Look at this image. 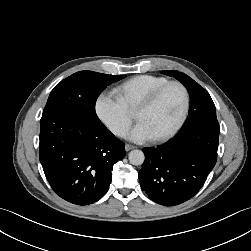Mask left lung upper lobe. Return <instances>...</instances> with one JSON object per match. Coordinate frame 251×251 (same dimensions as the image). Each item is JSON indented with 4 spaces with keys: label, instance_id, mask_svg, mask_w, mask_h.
Masks as SVG:
<instances>
[{
    "label": "left lung upper lobe",
    "instance_id": "5c2ea615",
    "mask_svg": "<svg viewBox=\"0 0 251 251\" xmlns=\"http://www.w3.org/2000/svg\"><path fill=\"white\" fill-rule=\"evenodd\" d=\"M162 73L178 79L190 95L188 117L181 130L198 124H218L215 105L209 93L188 75L178 71H162Z\"/></svg>",
    "mask_w": 251,
    "mask_h": 251
}]
</instances>
